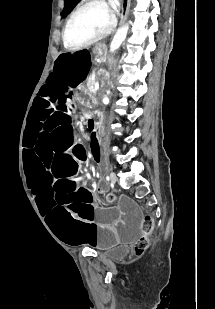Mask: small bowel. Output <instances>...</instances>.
I'll return each mask as SVG.
<instances>
[{
	"label": "small bowel",
	"instance_id": "c3829d8e",
	"mask_svg": "<svg viewBox=\"0 0 215 309\" xmlns=\"http://www.w3.org/2000/svg\"><path fill=\"white\" fill-rule=\"evenodd\" d=\"M90 130H92L93 128H91V127H88ZM91 139H92V142H93V146L97 149V150H99L100 149V146H99V143H98V141L96 140V136H93V137H91ZM105 190V186L104 185H101L100 183H99V187H98V192H103Z\"/></svg>",
	"mask_w": 215,
	"mask_h": 309
}]
</instances>
